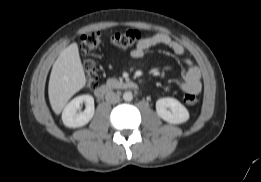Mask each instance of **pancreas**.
Returning <instances> with one entry per match:
<instances>
[{
  "instance_id": "1",
  "label": "pancreas",
  "mask_w": 261,
  "mask_h": 182,
  "mask_svg": "<svg viewBox=\"0 0 261 182\" xmlns=\"http://www.w3.org/2000/svg\"><path fill=\"white\" fill-rule=\"evenodd\" d=\"M119 83V81L115 78H109L107 80V85L108 86H116Z\"/></svg>"
}]
</instances>
